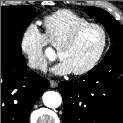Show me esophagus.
I'll list each match as a JSON object with an SVG mask.
<instances>
[{
    "label": "esophagus",
    "instance_id": "obj_1",
    "mask_svg": "<svg viewBox=\"0 0 123 123\" xmlns=\"http://www.w3.org/2000/svg\"><path fill=\"white\" fill-rule=\"evenodd\" d=\"M49 84H50V87H51V88H55V87H57V85H58V83H57L55 80H50V81H49Z\"/></svg>",
    "mask_w": 123,
    "mask_h": 123
}]
</instances>
